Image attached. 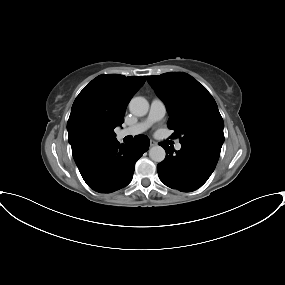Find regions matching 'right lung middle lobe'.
<instances>
[{
	"instance_id": "1",
	"label": "right lung middle lobe",
	"mask_w": 285,
	"mask_h": 285,
	"mask_svg": "<svg viewBox=\"0 0 285 285\" xmlns=\"http://www.w3.org/2000/svg\"><path fill=\"white\" fill-rule=\"evenodd\" d=\"M115 139V133L113 129L107 130L105 132L97 133L95 135L96 144H103Z\"/></svg>"
}]
</instances>
